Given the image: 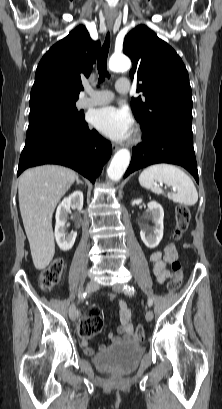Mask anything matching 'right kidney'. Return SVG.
<instances>
[{"mask_svg": "<svg viewBox=\"0 0 222 409\" xmlns=\"http://www.w3.org/2000/svg\"><path fill=\"white\" fill-rule=\"evenodd\" d=\"M70 207L76 208L79 211L82 210L83 193L81 191H75L69 197L64 198L56 210L55 238L59 248L63 251L70 250L77 237V232L71 231L68 233L66 230Z\"/></svg>", "mask_w": 222, "mask_h": 409, "instance_id": "obj_1", "label": "right kidney"}]
</instances>
